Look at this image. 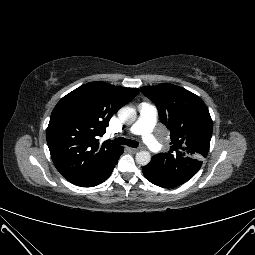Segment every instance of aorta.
Wrapping results in <instances>:
<instances>
[{
  "label": "aorta",
  "mask_w": 255,
  "mask_h": 255,
  "mask_svg": "<svg viewBox=\"0 0 255 255\" xmlns=\"http://www.w3.org/2000/svg\"><path fill=\"white\" fill-rule=\"evenodd\" d=\"M120 117L124 122L132 123L136 119V111L133 108L125 107L121 110ZM151 161V154L148 151H140L136 154V162L145 166Z\"/></svg>",
  "instance_id": "762f6f07"
}]
</instances>
